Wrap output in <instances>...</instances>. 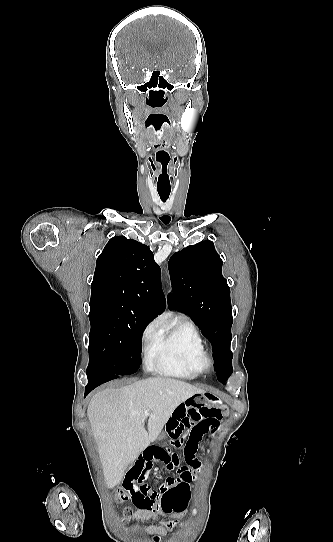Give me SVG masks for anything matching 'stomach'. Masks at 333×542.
Returning a JSON list of instances; mask_svg holds the SVG:
<instances>
[{"label":"stomach","instance_id":"0dacf381","mask_svg":"<svg viewBox=\"0 0 333 542\" xmlns=\"http://www.w3.org/2000/svg\"><path fill=\"white\" fill-rule=\"evenodd\" d=\"M186 400H201L205 408H218L221 404L220 398L215 396V394H211V392H203V394H198V396L187 397ZM163 438H166V432L162 436H159L158 440H163Z\"/></svg>","mask_w":333,"mask_h":542}]
</instances>
